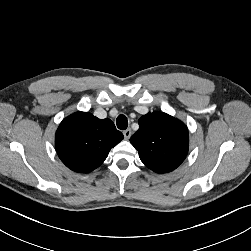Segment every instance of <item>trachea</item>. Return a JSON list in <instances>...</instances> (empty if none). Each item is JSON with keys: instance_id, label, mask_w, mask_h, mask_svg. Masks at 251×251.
<instances>
[{"instance_id": "1", "label": "trachea", "mask_w": 251, "mask_h": 251, "mask_svg": "<svg viewBox=\"0 0 251 251\" xmlns=\"http://www.w3.org/2000/svg\"><path fill=\"white\" fill-rule=\"evenodd\" d=\"M118 129L125 130L128 127V120L125 115L120 114L116 119Z\"/></svg>"}]
</instances>
